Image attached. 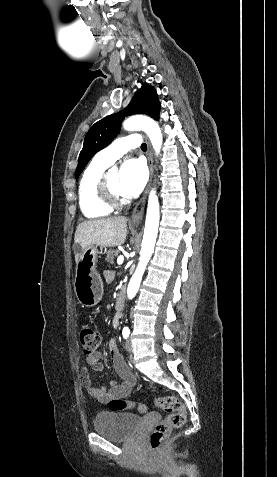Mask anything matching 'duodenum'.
<instances>
[{
  "instance_id": "obj_1",
  "label": "duodenum",
  "mask_w": 277,
  "mask_h": 477,
  "mask_svg": "<svg viewBox=\"0 0 277 477\" xmlns=\"http://www.w3.org/2000/svg\"><path fill=\"white\" fill-rule=\"evenodd\" d=\"M124 304H125V298H124V295L122 293H120L117 298H116V301H115V309L120 312L123 310L124 308Z\"/></svg>"
}]
</instances>
